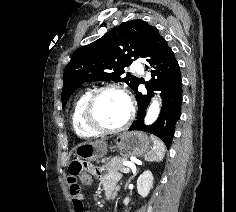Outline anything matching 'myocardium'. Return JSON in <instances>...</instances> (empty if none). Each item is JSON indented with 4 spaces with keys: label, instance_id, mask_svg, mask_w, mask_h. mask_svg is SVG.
<instances>
[{
    "label": "myocardium",
    "instance_id": "myocardium-1",
    "mask_svg": "<svg viewBox=\"0 0 236 212\" xmlns=\"http://www.w3.org/2000/svg\"><path fill=\"white\" fill-rule=\"evenodd\" d=\"M108 90H114L121 93L128 103V115L126 120L119 127L111 129L102 127L97 122L95 117V106L97 99L103 92ZM134 117H135V104L130 93L123 86L115 83H108L93 90L90 96L88 97L84 107V122L86 126L98 134L108 135V134H117L123 132L131 125V123L134 120Z\"/></svg>",
    "mask_w": 236,
    "mask_h": 212
}]
</instances>
